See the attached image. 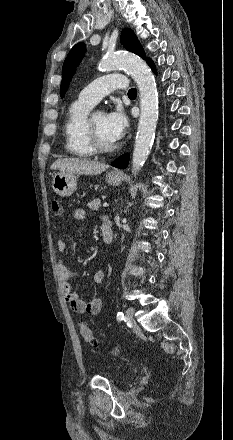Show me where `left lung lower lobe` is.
Masks as SVG:
<instances>
[{"label": "left lung lower lobe", "instance_id": "1", "mask_svg": "<svg viewBox=\"0 0 233 440\" xmlns=\"http://www.w3.org/2000/svg\"><path fill=\"white\" fill-rule=\"evenodd\" d=\"M147 63L151 67V69L156 73L155 65H154L153 61L150 58L147 59ZM128 162H129V154L126 153V154L120 156L119 158H117L112 163V166L120 168V169H124V168L127 167Z\"/></svg>", "mask_w": 233, "mask_h": 440}]
</instances>
